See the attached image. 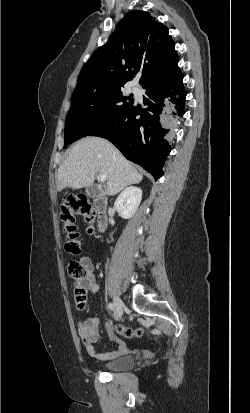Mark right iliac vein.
<instances>
[{
	"mask_svg": "<svg viewBox=\"0 0 250 413\" xmlns=\"http://www.w3.org/2000/svg\"><path fill=\"white\" fill-rule=\"evenodd\" d=\"M114 312L117 320L123 315V302L118 297L114 298Z\"/></svg>",
	"mask_w": 250,
	"mask_h": 413,
	"instance_id": "obj_1",
	"label": "right iliac vein"
}]
</instances>
